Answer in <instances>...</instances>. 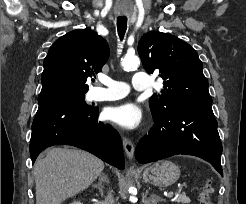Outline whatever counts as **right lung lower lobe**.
<instances>
[{
  "label": "right lung lower lobe",
  "instance_id": "1",
  "mask_svg": "<svg viewBox=\"0 0 246 204\" xmlns=\"http://www.w3.org/2000/svg\"><path fill=\"white\" fill-rule=\"evenodd\" d=\"M53 145H72L103 161L124 169L123 147L113 128L98 121V108L86 107L73 97H54L39 101L32 124L30 156Z\"/></svg>",
  "mask_w": 246,
  "mask_h": 204
}]
</instances>
